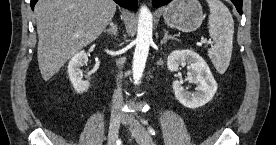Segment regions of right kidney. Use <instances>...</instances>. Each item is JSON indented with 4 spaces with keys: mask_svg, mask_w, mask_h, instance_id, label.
Segmentation results:
<instances>
[{
    "mask_svg": "<svg viewBox=\"0 0 276 145\" xmlns=\"http://www.w3.org/2000/svg\"><path fill=\"white\" fill-rule=\"evenodd\" d=\"M88 62V56L84 50L75 54L68 64V76L74 89L78 93H83L88 90L89 82L82 80L81 67Z\"/></svg>",
    "mask_w": 276,
    "mask_h": 145,
    "instance_id": "ca27d5eb",
    "label": "right kidney"
}]
</instances>
